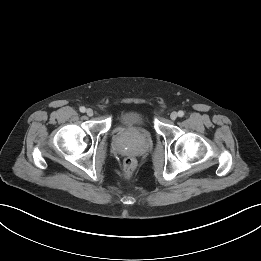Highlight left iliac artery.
Returning a JSON list of instances; mask_svg holds the SVG:
<instances>
[{"label": "left iliac artery", "instance_id": "1", "mask_svg": "<svg viewBox=\"0 0 261 261\" xmlns=\"http://www.w3.org/2000/svg\"><path fill=\"white\" fill-rule=\"evenodd\" d=\"M178 116H179V117H183V116H184V112H183L182 110H180V111L178 112Z\"/></svg>", "mask_w": 261, "mask_h": 261}]
</instances>
